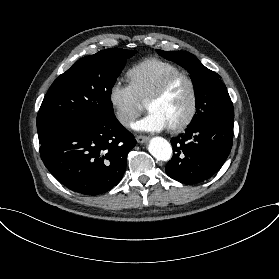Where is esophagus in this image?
I'll return each mask as SVG.
<instances>
[{"label": "esophagus", "instance_id": "obj_1", "mask_svg": "<svg viewBox=\"0 0 279 279\" xmlns=\"http://www.w3.org/2000/svg\"><path fill=\"white\" fill-rule=\"evenodd\" d=\"M136 140L138 143L142 144L145 143L148 140V138L145 136H137Z\"/></svg>", "mask_w": 279, "mask_h": 279}]
</instances>
